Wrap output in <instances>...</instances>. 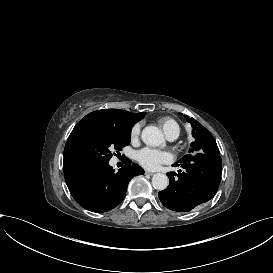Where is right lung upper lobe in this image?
Listing matches in <instances>:
<instances>
[{"label":"right lung upper lobe","instance_id":"cb5924a9","mask_svg":"<svg viewBox=\"0 0 273 273\" xmlns=\"http://www.w3.org/2000/svg\"><path fill=\"white\" fill-rule=\"evenodd\" d=\"M144 115L145 112L131 113L120 109H103L89 113L81 120V122L92 121L103 125L131 130L134 124L141 120ZM63 169L64 173L70 171L64 167Z\"/></svg>","mask_w":273,"mask_h":273}]
</instances>
